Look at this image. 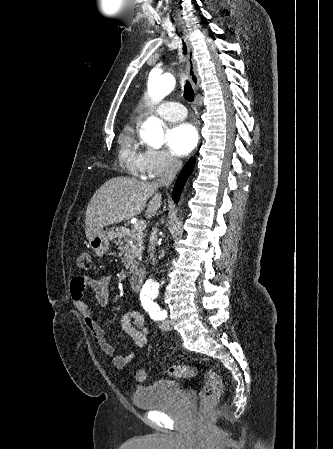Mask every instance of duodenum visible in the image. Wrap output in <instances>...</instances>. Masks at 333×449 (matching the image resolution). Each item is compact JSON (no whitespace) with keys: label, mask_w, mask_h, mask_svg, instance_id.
<instances>
[{"label":"duodenum","mask_w":333,"mask_h":449,"mask_svg":"<svg viewBox=\"0 0 333 449\" xmlns=\"http://www.w3.org/2000/svg\"><path fill=\"white\" fill-rule=\"evenodd\" d=\"M144 279V272L142 270H135L130 274V286L133 291L137 292L140 290Z\"/></svg>","instance_id":"410a0bca"}]
</instances>
